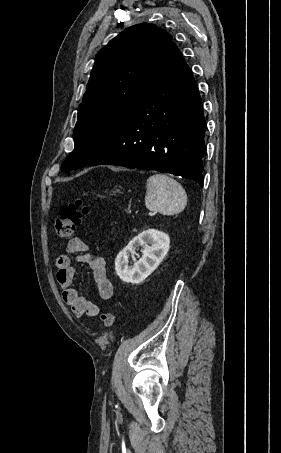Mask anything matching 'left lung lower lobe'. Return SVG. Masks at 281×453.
<instances>
[{"instance_id": "left-lung-lower-lobe-1", "label": "left lung lower lobe", "mask_w": 281, "mask_h": 453, "mask_svg": "<svg viewBox=\"0 0 281 453\" xmlns=\"http://www.w3.org/2000/svg\"><path fill=\"white\" fill-rule=\"evenodd\" d=\"M206 123L192 72L174 47L129 119L89 166L172 173L203 185Z\"/></svg>"}]
</instances>
